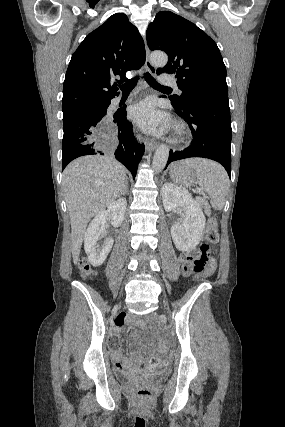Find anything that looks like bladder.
<instances>
[{"instance_id": "bladder-1", "label": "bladder", "mask_w": 285, "mask_h": 427, "mask_svg": "<svg viewBox=\"0 0 285 427\" xmlns=\"http://www.w3.org/2000/svg\"><path fill=\"white\" fill-rule=\"evenodd\" d=\"M137 376L147 377L153 380H161L164 378V374L161 372L144 373L139 369L131 368L125 374L126 379L131 380Z\"/></svg>"}]
</instances>
